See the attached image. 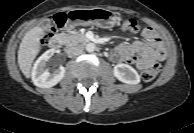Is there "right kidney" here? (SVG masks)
Returning <instances> with one entry per match:
<instances>
[{"label": "right kidney", "mask_w": 194, "mask_h": 133, "mask_svg": "<svg viewBox=\"0 0 194 133\" xmlns=\"http://www.w3.org/2000/svg\"><path fill=\"white\" fill-rule=\"evenodd\" d=\"M54 53L55 51L53 49L47 50L35 62L31 74L32 82L35 86L40 88H50L55 86L64 77L65 68L63 66H60L53 72H49L46 68L47 62Z\"/></svg>", "instance_id": "obj_1"}]
</instances>
